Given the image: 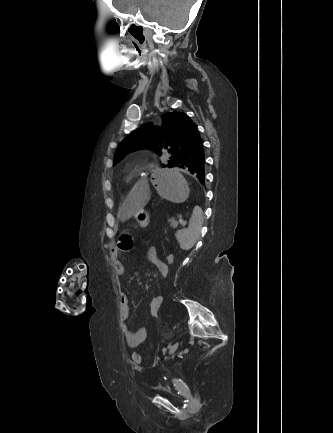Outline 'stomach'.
<instances>
[{
	"label": "stomach",
	"mask_w": 333,
	"mask_h": 433,
	"mask_svg": "<svg viewBox=\"0 0 333 433\" xmlns=\"http://www.w3.org/2000/svg\"><path fill=\"white\" fill-rule=\"evenodd\" d=\"M143 181L154 183L157 192L171 202H182L188 199V184L178 169H154L152 174H144ZM135 217L141 226L148 225L149 214L145 210H140Z\"/></svg>",
	"instance_id": "stomach-1"
}]
</instances>
